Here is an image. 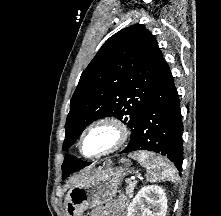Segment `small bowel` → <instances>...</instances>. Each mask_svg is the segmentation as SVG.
I'll return each mask as SVG.
<instances>
[{"label":"small bowel","mask_w":221,"mask_h":216,"mask_svg":"<svg viewBox=\"0 0 221 216\" xmlns=\"http://www.w3.org/2000/svg\"><path fill=\"white\" fill-rule=\"evenodd\" d=\"M126 215V199L120 197L113 203L105 207L92 211L91 216H125Z\"/></svg>","instance_id":"1"}]
</instances>
